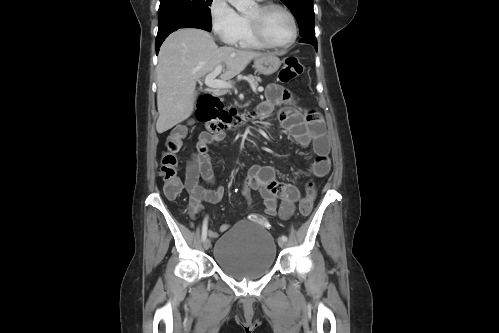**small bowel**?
<instances>
[{
    "label": "small bowel",
    "mask_w": 499,
    "mask_h": 333,
    "mask_svg": "<svg viewBox=\"0 0 499 333\" xmlns=\"http://www.w3.org/2000/svg\"><path fill=\"white\" fill-rule=\"evenodd\" d=\"M290 91L283 86L271 83L266 88V100L258 106L261 115H269L276 106H283L279 111L281 126L289 131L291 136L301 145L312 146L316 155L312 164V172L316 177H324L330 170V146L325 133L324 121L315 111H302L294 104ZM224 133H207L200 135L196 151L188 160L185 176V188L189 194V210L195 215L202 202L217 203L224 196V187L217 185L212 169L209 146L222 141ZM203 180L211 188L200 184ZM243 193L250 205L251 191H258L263 199L264 212L268 216L278 215L281 219L290 218L295 204L300 198L298 187L281 182L270 166H253L242 187ZM281 201L277 209V202ZM230 224H223L219 231L225 232ZM210 237L216 238L217 232L209 231Z\"/></svg>",
    "instance_id": "1"
}]
</instances>
